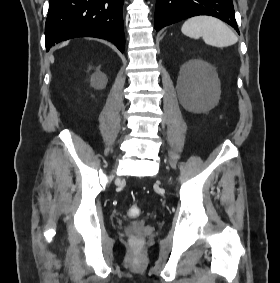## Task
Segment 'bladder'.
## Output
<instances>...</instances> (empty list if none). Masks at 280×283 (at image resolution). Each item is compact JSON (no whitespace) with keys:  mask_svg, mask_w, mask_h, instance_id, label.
Listing matches in <instances>:
<instances>
[{"mask_svg":"<svg viewBox=\"0 0 280 283\" xmlns=\"http://www.w3.org/2000/svg\"><path fill=\"white\" fill-rule=\"evenodd\" d=\"M147 220L146 219H140L132 222V226L135 228H142L146 225Z\"/></svg>","mask_w":280,"mask_h":283,"instance_id":"obj_1","label":"bladder"}]
</instances>
